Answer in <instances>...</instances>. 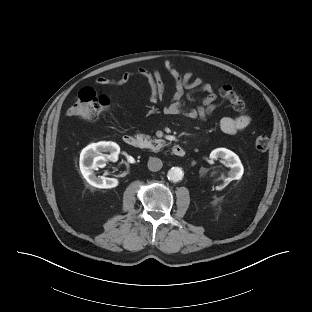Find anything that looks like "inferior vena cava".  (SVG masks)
Returning <instances> with one entry per match:
<instances>
[{"mask_svg": "<svg viewBox=\"0 0 312 312\" xmlns=\"http://www.w3.org/2000/svg\"><path fill=\"white\" fill-rule=\"evenodd\" d=\"M163 166L161 159L157 157H150L148 161V169L150 171L156 172L159 171Z\"/></svg>", "mask_w": 312, "mask_h": 312, "instance_id": "1", "label": "inferior vena cava"}]
</instances>
